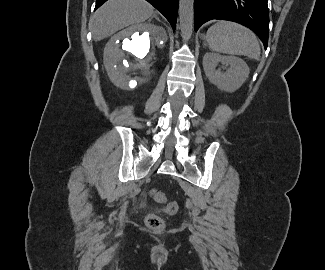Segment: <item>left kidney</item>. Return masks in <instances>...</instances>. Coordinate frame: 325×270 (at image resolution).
Returning <instances> with one entry per match:
<instances>
[{"label":"left kidney","mask_w":325,"mask_h":270,"mask_svg":"<svg viewBox=\"0 0 325 270\" xmlns=\"http://www.w3.org/2000/svg\"><path fill=\"white\" fill-rule=\"evenodd\" d=\"M219 63L228 67L225 72L217 69ZM203 68L209 81L226 92L239 89L249 76V67L245 61L235 56L206 53L203 57Z\"/></svg>","instance_id":"left-kidney-1"}]
</instances>
